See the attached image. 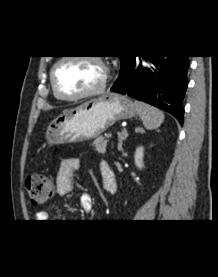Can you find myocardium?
<instances>
[{"instance_id":"obj_1","label":"myocardium","mask_w":218,"mask_h":277,"mask_svg":"<svg viewBox=\"0 0 218 277\" xmlns=\"http://www.w3.org/2000/svg\"><path fill=\"white\" fill-rule=\"evenodd\" d=\"M71 59L87 60V61H90V62L94 63L95 65H97L101 70V80L98 83V85L95 86L94 88L89 89L81 94L76 95V96L63 95L57 87L55 73H56V69L58 68L59 65H61L65 61H68ZM108 79H109V67L106 65V63L102 60L101 57L95 56V55H64V56L60 57L53 64L51 71H50V82H51V87H52L54 94L59 99L64 100V101H69V102L89 98V97H92V96L102 93L106 89Z\"/></svg>"}]
</instances>
